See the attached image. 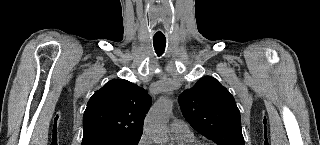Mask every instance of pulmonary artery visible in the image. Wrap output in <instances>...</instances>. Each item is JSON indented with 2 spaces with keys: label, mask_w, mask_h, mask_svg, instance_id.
Returning a JSON list of instances; mask_svg holds the SVG:
<instances>
[{
  "label": "pulmonary artery",
  "mask_w": 320,
  "mask_h": 145,
  "mask_svg": "<svg viewBox=\"0 0 320 145\" xmlns=\"http://www.w3.org/2000/svg\"><path fill=\"white\" fill-rule=\"evenodd\" d=\"M170 132L172 135H189L192 134L189 125L180 119H175L170 124Z\"/></svg>",
  "instance_id": "e3ab8cb5"
}]
</instances>
